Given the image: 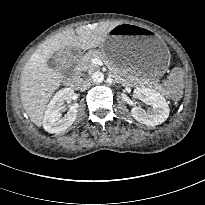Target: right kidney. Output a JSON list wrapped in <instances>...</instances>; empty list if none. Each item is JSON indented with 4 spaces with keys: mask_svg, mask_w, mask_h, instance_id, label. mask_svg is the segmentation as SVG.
I'll list each match as a JSON object with an SVG mask.
<instances>
[{
    "mask_svg": "<svg viewBox=\"0 0 205 205\" xmlns=\"http://www.w3.org/2000/svg\"><path fill=\"white\" fill-rule=\"evenodd\" d=\"M74 90L63 88L51 99L43 116V128L49 133H60L70 127L77 117V107L71 106L62 118L61 112L65 109V101L71 100Z\"/></svg>",
    "mask_w": 205,
    "mask_h": 205,
    "instance_id": "1",
    "label": "right kidney"
}]
</instances>
